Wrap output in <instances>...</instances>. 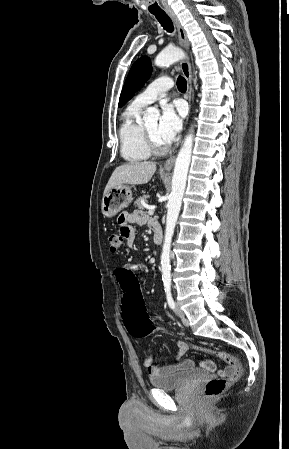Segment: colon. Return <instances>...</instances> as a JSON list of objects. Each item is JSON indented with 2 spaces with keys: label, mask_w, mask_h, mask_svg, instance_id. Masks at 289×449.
<instances>
[{
  "label": "colon",
  "mask_w": 289,
  "mask_h": 449,
  "mask_svg": "<svg viewBox=\"0 0 289 449\" xmlns=\"http://www.w3.org/2000/svg\"><path fill=\"white\" fill-rule=\"evenodd\" d=\"M109 248L112 253L119 252L124 245V238L119 233H112L108 237ZM114 276L118 280L122 294L123 317L127 330L135 337L141 338L153 333L168 334L162 327L156 326L148 317L141 292L139 290L133 268H115ZM193 348L210 354L228 362L234 371L227 377L213 378L205 386L206 397L212 398L223 393L230 385L236 383L244 374V365L239 357L222 350H213L200 345Z\"/></svg>",
  "instance_id": "colon-1"
}]
</instances>
